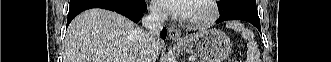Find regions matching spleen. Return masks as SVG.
Wrapping results in <instances>:
<instances>
[{
    "label": "spleen",
    "mask_w": 331,
    "mask_h": 62,
    "mask_svg": "<svg viewBox=\"0 0 331 62\" xmlns=\"http://www.w3.org/2000/svg\"><path fill=\"white\" fill-rule=\"evenodd\" d=\"M228 28H232L237 32H241L242 37L248 41V51L246 62H258L260 53L257 48V43L254 40V34L251 30L246 29L243 24L239 22H230L227 24Z\"/></svg>",
    "instance_id": "spleen-1"
}]
</instances>
